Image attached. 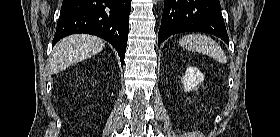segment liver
I'll list each match as a JSON object with an SVG mask.
<instances>
[{
	"label": "liver",
	"mask_w": 280,
	"mask_h": 137,
	"mask_svg": "<svg viewBox=\"0 0 280 137\" xmlns=\"http://www.w3.org/2000/svg\"><path fill=\"white\" fill-rule=\"evenodd\" d=\"M104 47L105 42L96 36L82 34L65 37L53 49L50 71L58 73L99 53Z\"/></svg>",
	"instance_id": "liver-1"
}]
</instances>
